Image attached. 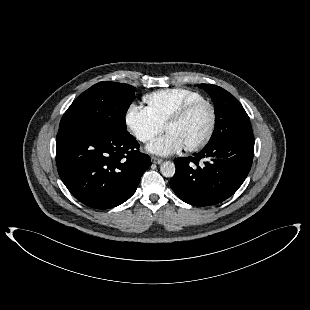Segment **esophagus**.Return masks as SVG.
<instances>
[{"label":"esophagus","mask_w":310,"mask_h":310,"mask_svg":"<svg viewBox=\"0 0 310 310\" xmlns=\"http://www.w3.org/2000/svg\"><path fill=\"white\" fill-rule=\"evenodd\" d=\"M151 160H152V162L154 163V164H161L162 162H163V160L162 159H160V158H157V157H151Z\"/></svg>","instance_id":"34e87169"}]
</instances>
